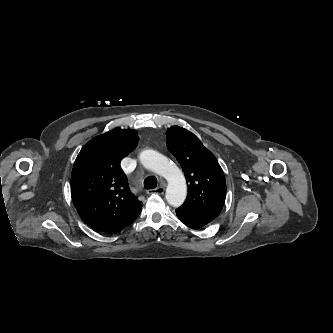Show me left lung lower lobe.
Segmentation results:
<instances>
[{
  "label": "left lung lower lobe",
  "instance_id": "obj_1",
  "mask_svg": "<svg viewBox=\"0 0 333 333\" xmlns=\"http://www.w3.org/2000/svg\"><path fill=\"white\" fill-rule=\"evenodd\" d=\"M176 214L181 222L194 229L201 228L215 219L214 217L191 212L181 207L176 209Z\"/></svg>",
  "mask_w": 333,
  "mask_h": 333
}]
</instances>
